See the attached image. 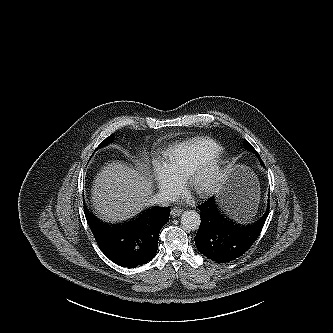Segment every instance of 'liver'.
Masks as SVG:
<instances>
[{
    "instance_id": "obj_1",
    "label": "liver",
    "mask_w": 333,
    "mask_h": 333,
    "mask_svg": "<svg viewBox=\"0 0 333 333\" xmlns=\"http://www.w3.org/2000/svg\"><path fill=\"white\" fill-rule=\"evenodd\" d=\"M134 169L112 162L97 174L92 187L96 213L106 221L118 222L133 217L152 204L153 181L145 164Z\"/></svg>"
}]
</instances>
